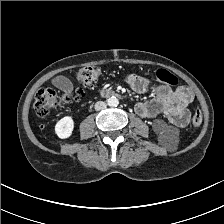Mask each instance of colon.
<instances>
[{
    "label": "colon",
    "instance_id": "5ec220e1",
    "mask_svg": "<svg viewBox=\"0 0 224 224\" xmlns=\"http://www.w3.org/2000/svg\"><path fill=\"white\" fill-rule=\"evenodd\" d=\"M101 75V71L97 66L87 65L80 68L76 74V79L79 83L91 86L96 83ZM156 77L159 82L167 85H175L177 78L165 69H160L156 72ZM77 94H80L78 91ZM71 95L59 96L52 88H41L35 96L34 109L40 116H46L50 111L61 103L70 101ZM202 123V112L199 108H195L192 116L193 126H199Z\"/></svg>",
    "mask_w": 224,
    "mask_h": 224
}]
</instances>
